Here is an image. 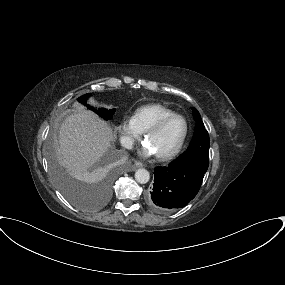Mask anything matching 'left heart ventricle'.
Instances as JSON below:
<instances>
[{"instance_id":"1","label":"left heart ventricle","mask_w":285,"mask_h":285,"mask_svg":"<svg viewBox=\"0 0 285 285\" xmlns=\"http://www.w3.org/2000/svg\"><path fill=\"white\" fill-rule=\"evenodd\" d=\"M183 133L184 123L182 119L176 118L168 122L159 132L151 135L146 143L155 154H166L178 145Z\"/></svg>"}]
</instances>
